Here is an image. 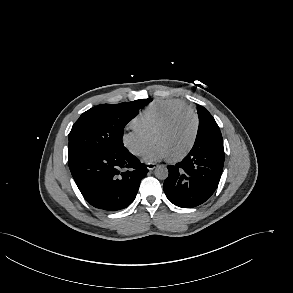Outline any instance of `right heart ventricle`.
Returning <instances> with one entry per match:
<instances>
[{
  "label": "right heart ventricle",
  "mask_w": 293,
  "mask_h": 293,
  "mask_svg": "<svg viewBox=\"0 0 293 293\" xmlns=\"http://www.w3.org/2000/svg\"><path fill=\"white\" fill-rule=\"evenodd\" d=\"M189 106L179 99H161L148 105L134 120L133 127L147 136L173 113L187 109Z\"/></svg>",
  "instance_id": "obj_1"
}]
</instances>
